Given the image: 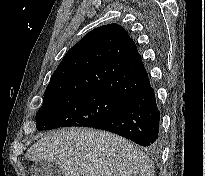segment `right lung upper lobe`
Here are the masks:
<instances>
[{"instance_id":"right-lung-upper-lobe-1","label":"right lung upper lobe","mask_w":205,"mask_h":176,"mask_svg":"<svg viewBox=\"0 0 205 176\" xmlns=\"http://www.w3.org/2000/svg\"><path fill=\"white\" fill-rule=\"evenodd\" d=\"M150 85L134 41L120 25L85 35L63 57L44 96L103 90L123 97Z\"/></svg>"}]
</instances>
